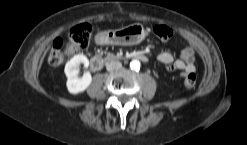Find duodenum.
Wrapping results in <instances>:
<instances>
[{
	"mask_svg": "<svg viewBox=\"0 0 247 145\" xmlns=\"http://www.w3.org/2000/svg\"><path fill=\"white\" fill-rule=\"evenodd\" d=\"M98 41H102V39H98ZM130 59H137V60H140L142 62H147L148 61V58L144 55V54H141V53H133L129 56ZM103 66V62L100 58H97V57H94L90 60V68L93 70V71H99Z\"/></svg>",
	"mask_w": 247,
	"mask_h": 145,
	"instance_id": "duodenum-1",
	"label": "duodenum"
}]
</instances>
